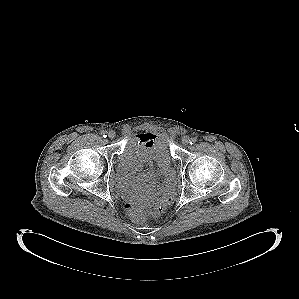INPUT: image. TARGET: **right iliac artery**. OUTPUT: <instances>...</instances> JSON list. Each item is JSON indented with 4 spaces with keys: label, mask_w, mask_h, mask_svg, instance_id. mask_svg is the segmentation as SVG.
<instances>
[{
    "label": "right iliac artery",
    "mask_w": 299,
    "mask_h": 299,
    "mask_svg": "<svg viewBox=\"0 0 299 299\" xmlns=\"http://www.w3.org/2000/svg\"><path fill=\"white\" fill-rule=\"evenodd\" d=\"M102 136L105 138V137H107V132L106 131H102Z\"/></svg>",
    "instance_id": "obj_1"
}]
</instances>
